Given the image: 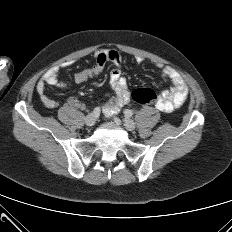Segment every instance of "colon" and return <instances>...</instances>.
<instances>
[{
    "mask_svg": "<svg viewBox=\"0 0 232 232\" xmlns=\"http://www.w3.org/2000/svg\"><path fill=\"white\" fill-rule=\"evenodd\" d=\"M131 98L134 102L149 105L156 100V93L153 89L148 87L136 88L131 92Z\"/></svg>",
    "mask_w": 232,
    "mask_h": 232,
    "instance_id": "obj_1",
    "label": "colon"
}]
</instances>
